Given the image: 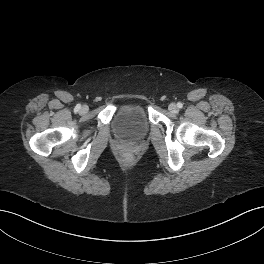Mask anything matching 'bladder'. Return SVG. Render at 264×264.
Masks as SVG:
<instances>
[{
    "mask_svg": "<svg viewBox=\"0 0 264 264\" xmlns=\"http://www.w3.org/2000/svg\"><path fill=\"white\" fill-rule=\"evenodd\" d=\"M150 129L146 110L136 104L120 106L113 118L115 135L127 143H135L145 138Z\"/></svg>",
    "mask_w": 264,
    "mask_h": 264,
    "instance_id": "31cf9c89",
    "label": "bladder"
}]
</instances>
